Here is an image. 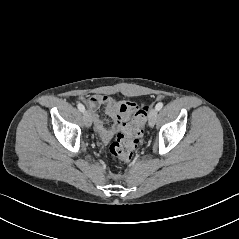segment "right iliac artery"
Here are the masks:
<instances>
[{
  "instance_id": "obj_1",
  "label": "right iliac artery",
  "mask_w": 239,
  "mask_h": 239,
  "mask_svg": "<svg viewBox=\"0 0 239 239\" xmlns=\"http://www.w3.org/2000/svg\"><path fill=\"white\" fill-rule=\"evenodd\" d=\"M77 107H78V109H79L81 112H84V111H85V107H84L81 103H78V104H77Z\"/></svg>"
}]
</instances>
